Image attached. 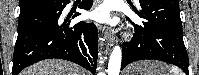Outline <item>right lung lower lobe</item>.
I'll return each instance as SVG.
<instances>
[{
  "mask_svg": "<svg viewBox=\"0 0 199 75\" xmlns=\"http://www.w3.org/2000/svg\"><path fill=\"white\" fill-rule=\"evenodd\" d=\"M70 0H22L12 75L38 61L59 58L79 64L95 73L98 30L93 23L70 27L62 11ZM93 0H82L79 8L89 10ZM75 14L73 17L78 16Z\"/></svg>",
  "mask_w": 199,
  "mask_h": 75,
  "instance_id": "obj_1",
  "label": "right lung lower lobe"
}]
</instances>
